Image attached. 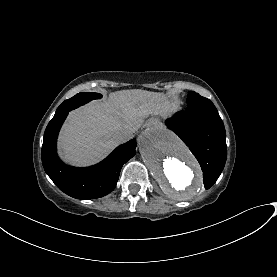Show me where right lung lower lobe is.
I'll return each instance as SVG.
<instances>
[{"instance_id":"obj_1","label":"right lung lower lobe","mask_w":277,"mask_h":277,"mask_svg":"<svg viewBox=\"0 0 277 277\" xmlns=\"http://www.w3.org/2000/svg\"><path fill=\"white\" fill-rule=\"evenodd\" d=\"M68 112L54 115L49 122L42 145V164L51 180L67 195L77 199L100 198L112 192L125 162L135 155L136 140L117 147L105 160L87 168L65 165L57 156L58 132Z\"/></svg>"}]
</instances>
